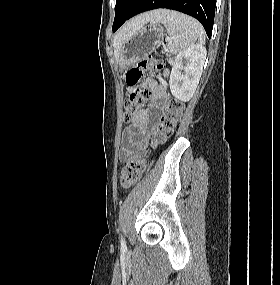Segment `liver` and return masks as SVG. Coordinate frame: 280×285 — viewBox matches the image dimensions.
I'll use <instances>...</instances> for the list:
<instances>
[{"label":"liver","mask_w":280,"mask_h":285,"mask_svg":"<svg viewBox=\"0 0 280 285\" xmlns=\"http://www.w3.org/2000/svg\"><path fill=\"white\" fill-rule=\"evenodd\" d=\"M156 11L144 13L124 24L114 37V55L118 59L121 47L133 33L141 29L146 23L156 17Z\"/></svg>","instance_id":"6515ba94"}]
</instances>
